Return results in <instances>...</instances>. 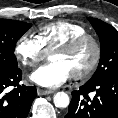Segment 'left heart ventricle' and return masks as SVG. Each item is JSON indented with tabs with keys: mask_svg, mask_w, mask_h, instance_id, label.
<instances>
[{
	"mask_svg": "<svg viewBox=\"0 0 118 118\" xmlns=\"http://www.w3.org/2000/svg\"><path fill=\"white\" fill-rule=\"evenodd\" d=\"M93 54L92 45L86 43L71 53L53 52L50 61L63 64L72 75L83 72L92 61Z\"/></svg>",
	"mask_w": 118,
	"mask_h": 118,
	"instance_id": "left-heart-ventricle-1",
	"label": "left heart ventricle"
}]
</instances>
